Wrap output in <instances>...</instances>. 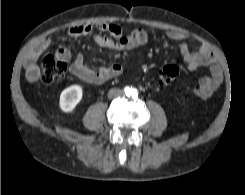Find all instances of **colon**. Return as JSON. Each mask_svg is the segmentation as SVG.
Returning a JSON list of instances; mask_svg holds the SVG:
<instances>
[{"instance_id":"1","label":"colon","mask_w":245,"mask_h":195,"mask_svg":"<svg viewBox=\"0 0 245 195\" xmlns=\"http://www.w3.org/2000/svg\"><path fill=\"white\" fill-rule=\"evenodd\" d=\"M67 64L61 59L46 56L42 61V81L46 84L55 82L65 76ZM179 75L176 65H165L154 74L155 80L162 86L171 84Z\"/></svg>"}]
</instances>
